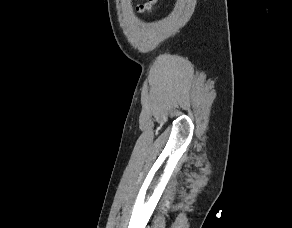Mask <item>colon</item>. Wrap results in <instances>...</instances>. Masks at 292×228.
Wrapping results in <instances>:
<instances>
[{"label": "colon", "instance_id": "5ec220e1", "mask_svg": "<svg viewBox=\"0 0 292 228\" xmlns=\"http://www.w3.org/2000/svg\"><path fill=\"white\" fill-rule=\"evenodd\" d=\"M157 1L158 0H147L146 2L139 3L136 9L140 13L151 12L153 7L156 5Z\"/></svg>", "mask_w": 292, "mask_h": 228}]
</instances>
